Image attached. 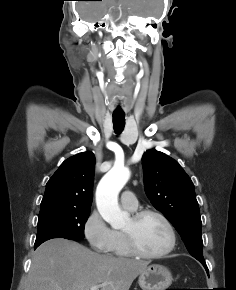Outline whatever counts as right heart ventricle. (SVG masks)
<instances>
[{
	"mask_svg": "<svg viewBox=\"0 0 236 290\" xmlns=\"http://www.w3.org/2000/svg\"><path fill=\"white\" fill-rule=\"evenodd\" d=\"M113 232H114V240L109 252L118 257L131 256L123 232L117 230H113Z\"/></svg>",
	"mask_w": 236,
	"mask_h": 290,
	"instance_id": "obj_1",
	"label": "right heart ventricle"
}]
</instances>
